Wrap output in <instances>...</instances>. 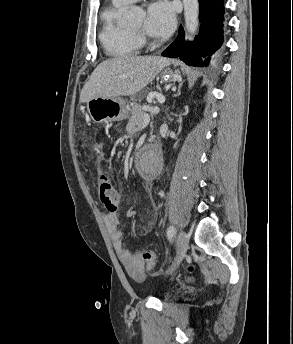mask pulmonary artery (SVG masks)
<instances>
[{
    "mask_svg": "<svg viewBox=\"0 0 293 344\" xmlns=\"http://www.w3.org/2000/svg\"><path fill=\"white\" fill-rule=\"evenodd\" d=\"M113 1H115L116 3H119V4H129V3H133V2H136L139 0H113Z\"/></svg>",
    "mask_w": 293,
    "mask_h": 344,
    "instance_id": "1",
    "label": "pulmonary artery"
}]
</instances>
